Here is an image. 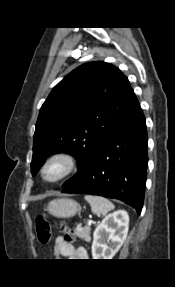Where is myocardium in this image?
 Segmentation results:
<instances>
[{"instance_id": "f54148a6", "label": "myocardium", "mask_w": 175, "mask_h": 287, "mask_svg": "<svg viewBox=\"0 0 175 287\" xmlns=\"http://www.w3.org/2000/svg\"><path fill=\"white\" fill-rule=\"evenodd\" d=\"M55 163H60L63 167L62 172L55 178H47L45 172L47 168ZM79 167L78 158L70 152L60 151L50 155L40 168L42 180L48 184H58L72 176Z\"/></svg>"}]
</instances>
